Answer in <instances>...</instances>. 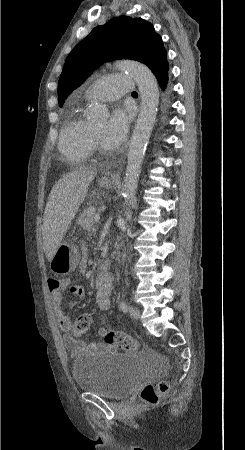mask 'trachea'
Segmentation results:
<instances>
[{"instance_id":"trachea-1","label":"trachea","mask_w":245,"mask_h":450,"mask_svg":"<svg viewBox=\"0 0 245 450\" xmlns=\"http://www.w3.org/2000/svg\"><path fill=\"white\" fill-rule=\"evenodd\" d=\"M132 95H138V93L136 91H133Z\"/></svg>"}]
</instances>
